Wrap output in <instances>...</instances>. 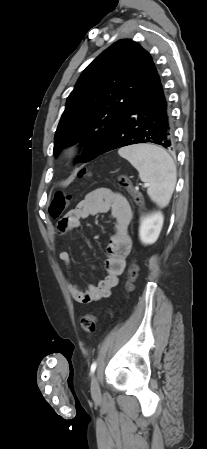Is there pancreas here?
<instances>
[{
	"instance_id": "1",
	"label": "pancreas",
	"mask_w": 207,
	"mask_h": 449,
	"mask_svg": "<svg viewBox=\"0 0 207 449\" xmlns=\"http://www.w3.org/2000/svg\"><path fill=\"white\" fill-rule=\"evenodd\" d=\"M132 196H133L134 198H136V197H139V196H140V194H139V193H137V192H135V191H133V192H132Z\"/></svg>"
}]
</instances>
